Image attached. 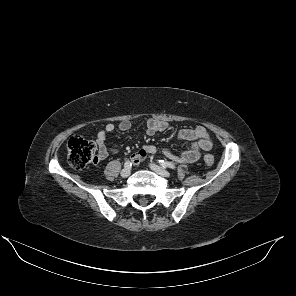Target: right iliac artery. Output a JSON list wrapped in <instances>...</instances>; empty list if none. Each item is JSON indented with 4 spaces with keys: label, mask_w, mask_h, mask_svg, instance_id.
I'll use <instances>...</instances> for the list:
<instances>
[{
    "label": "right iliac artery",
    "mask_w": 296,
    "mask_h": 296,
    "mask_svg": "<svg viewBox=\"0 0 296 296\" xmlns=\"http://www.w3.org/2000/svg\"><path fill=\"white\" fill-rule=\"evenodd\" d=\"M131 166H132V164L129 160L124 163L125 168H130Z\"/></svg>",
    "instance_id": "1"
}]
</instances>
